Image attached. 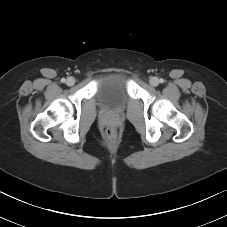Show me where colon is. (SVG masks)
<instances>
[{
	"label": "colon",
	"mask_w": 227,
	"mask_h": 227,
	"mask_svg": "<svg viewBox=\"0 0 227 227\" xmlns=\"http://www.w3.org/2000/svg\"><path fill=\"white\" fill-rule=\"evenodd\" d=\"M104 133H105L106 137L111 141H113L116 137L115 128L112 126H106L104 129Z\"/></svg>",
	"instance_id": "5ec220e1"
}]
</instances>
